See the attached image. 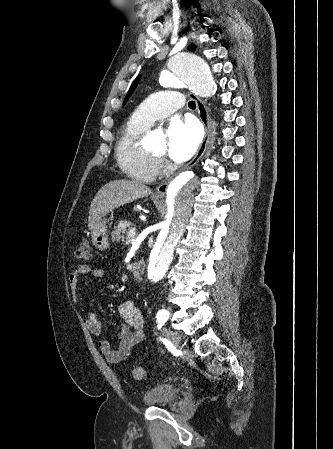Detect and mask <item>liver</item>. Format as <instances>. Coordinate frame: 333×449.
Here are the masks:
<instances>
[{
  "instance_id": "obj_1",
  "label": "liver",
  "mask_w": 333,
  "mask_h": 449,
  "mask_svg": "<svg viewBox=\"0 0 333 449\" xmlns=\"http://www.w3.org/2000/svg\"><path fill=\"white\" fill-rule=\"evenodd\" d=\"M151 189L133 180L119 179L105 184L94 197L88 218V227L92 229L115 208L147 197Z\"/></svg>"
}]
</instances>
